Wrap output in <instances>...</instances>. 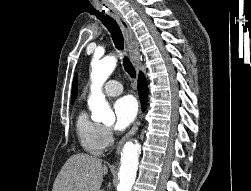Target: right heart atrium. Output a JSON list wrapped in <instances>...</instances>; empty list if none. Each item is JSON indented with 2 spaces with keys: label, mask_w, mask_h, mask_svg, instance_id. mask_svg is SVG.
I'll use <instances>...</instances> for the list:
<instances>
[{
  "label": "right heart atrium",
  "mask_w": 251,
  "mask_h": 191,
  "mask_svg": "<svg viewBox=\"0 0 251 191\" xmlns=\"http://www.w3.org/2000/svg\"><path fill=\"white\" fill-rule=\"evenodd\" d=\"M101 142L103 148L110 147L114 143V134L110 126L101 125Z\"/></svg>",
  "instance_id": "obj_1"
}]
</instances>
